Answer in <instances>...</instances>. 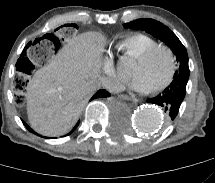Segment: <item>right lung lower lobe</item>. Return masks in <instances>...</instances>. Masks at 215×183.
I'll return each instance as SVG.
<instances>
[{
    "mask_svg": "<svg viewBox=\"0 0 215 183\" xmlns=\"http://www.w3.org/2000/svg\"><path fill=\"white\" fill-rule=\"evenodd\" d=\"M108 96H110V94L108 92H106L105 90L101 89V90L97 91V93L92 97V99L100 98V97H108ZM23 123L30 132L35 133L25 122H23ZM78 125H79V122L76 124V126L73 128V130L71 132H73Z\"/></svg>",
    "mask_w": 215,
    "mask_h": 183,
    "instance_id": "obj_1",
    "label": "right lung lower lobe"
}]
</instances>
